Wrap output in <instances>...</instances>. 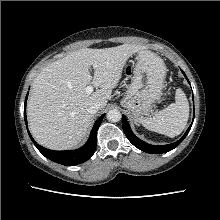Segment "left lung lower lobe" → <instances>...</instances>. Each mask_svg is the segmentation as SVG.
<instances>
[{
    "label": "left lung lower lobe",
    "mask_w": 220,
    "mask_h": 220,
    "mask_svg": "<svg viewBox=\"0 0 220 220\" xmlns=\"http://www.w3.org/2000/svg\"><path fill=\"white\" fill-rule=\"evenodd\" d=\"M182 71V70H181ZM182 73L184 74V76L186 77L184 71H182ZM186 79L188 80V78L186 77ZM189 82V80H188ZM192 124L189 126L188 130L186 131V133L183 135V137L181 139H179L178 141H176L175 143L172 144H168V145H162V146H155V145H150L142 140H140L139 138H137L133 132L131 131V128L125 118V116H122V127H123V131L125 133V135L127 136L128 140L138 149L147 152V153H151V154H159V153H166L169 152L171 150H173L174 148H176L186 137V135L188 134L189 130L191 129Z\"/></svg>",
    "instance_id": "obj_1"
}]
</instances>
